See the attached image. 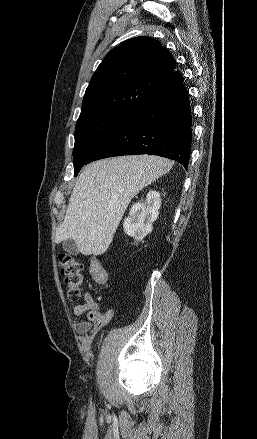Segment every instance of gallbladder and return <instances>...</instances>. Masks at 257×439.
I'll return each instance as SVG.
<instances>
[{"mask_svg":"<svg viewBox=\"0 0 257 439\" xmlns=\"http://www.w3.org/2000/svg\"><path fill=\"white\" fill-rule=\"evenodd\" d=\"M63 249L70 254H78L76 243L72 239H66L62 242Z\"/></svg>","mask_w":257,"mask_h":439,"instance_id":"1","label":"gallbladder"}]
</instances>
